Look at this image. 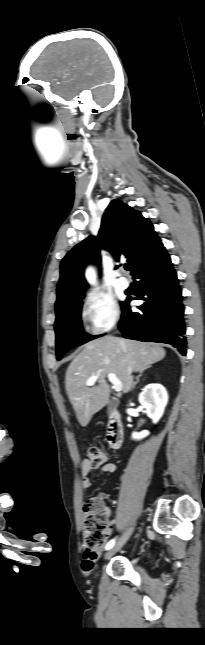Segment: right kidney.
I'll list each match as a JSON object with an SVG mask.
<instances>
[{
    "label": "right kidney",
    "instance_id": "right-kidney-1",
    "mask_svg": "<svg viewBox=\"0 0 205 645\" xmlns=\"http://www.w3.org/2000/svg\"><path fill=\"white\" fill-rule=\"evenodd\" d=\"M138 400L145 409L147 416L152 419L153 423H157L164 413L168 402V394L161 384H149L142 390ZM148 434L149 431L147 430L140 433L134 432L132 438L139 440Z\"/></svg>",
    "mask_w": 205,
    "mask_h": 645
}]
</instances>
